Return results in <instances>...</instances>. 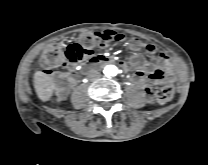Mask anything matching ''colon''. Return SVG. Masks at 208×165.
Listing matches in <instances>:
<instances>
[{"label":"colon","instance_id":"obj_1","mask_svg":"<svg viewBox=\"0 0 208 165\" xmlns=\"http://www.w3.org/2000/svg\"><path fill=\"white\" fill-rule=\"evenodd\" d=\"M123 36L113 31H84L77 34L75 42L65 47L61 42L49 44L41 55L42 70L46 74H52L53 69L65 67L68 62H81L85 58L95 55V48L102 42H120ZM128 46L131 51H143L148 55L155 53V46L145 44L138 39H130ZM174 96V88L171 85L164 86L155 94L158 103H165Z\"/></svg>","mask_w":208,"mask_h":165}]
</instances>
